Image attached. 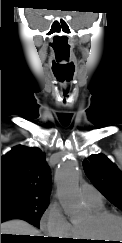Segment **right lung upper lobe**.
Wrapping results in <instances>:
<instances>
[{
    "label": "right lung upper lobe",
    "mask_w": 122,
    "mask_h": 243,
    "mask_svg": "<svg viewBox=\"0 0 122 243\" xmlns=\"http://www.w3.org/2000/svg\"><path fill=\"white\" fill-rule=\"evenodd\" d=\"M50 189V170L39 148L18 145L1 157V196L49 199Z\"/></svg>",
    "instance_id": "right-lung-upper-lobe-1"
}]
</instances>
